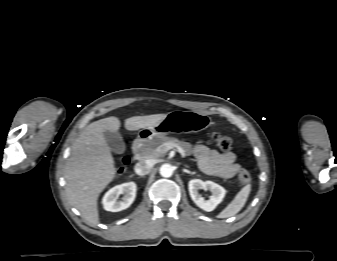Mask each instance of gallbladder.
<instances>
[{"mask_svg": "<svg viewBox=\"0 0 337 261\" xmlns=\"http://www.w3.org/2000/svg\"><path fill=\"white\" fill-rule=\"evenodd\" d=\"M104 137L108 146L113 152L117 154H122L125 152L126 150L125 143L123 141L122 136L118 132H111L105 130Z\"/></svg>", "mask_w": 337, "mask_h": 261, "instance_id": "gallbladder-1", "label": "gallbladder"}]
</instances>
